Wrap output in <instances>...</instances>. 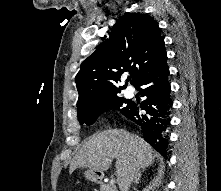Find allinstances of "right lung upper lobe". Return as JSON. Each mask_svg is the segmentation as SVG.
<instances>
[{
    "label": "right lung upper lobe",
    "instance_id": "1",
    "mask_svg": "<svg viewBox=\"0 0 221 191\" xmlns=\"http://www.w3.org/2000/svg\"><path fill=\"white\" fill-rule=\"evenodd\" d=\"M166 53L157 22L140 13H126L113 26L109 39L86 58L76 75L78 113L117 96L124 86L112 82L129 71L135 85L140 77Z\"/></svg>",
    "mask_w": 221,
    "mask_h": 191
}]
</instances>
